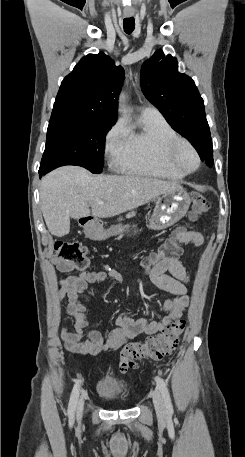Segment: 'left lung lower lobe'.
Instances as JSON below:
<instances>
[{
    "label": "left lung lower lobe",
    "mask_w": 245,
    "mask_h": 457,
    "mask_svg": "<svg viewBox=\"0 0 245 457\" xmlns=\"http://www.w3.org/2000/svg\"><path fill=\"white\" fill-rule=\"evenodd\" d=\"M200 155L201 160H204L209 167L213 165V150H212V139H206L202 141L196 149Z\"/></svg>",
    "instance_id": "obj_1"
}]
</instances>
